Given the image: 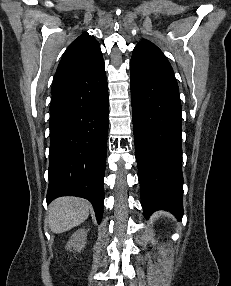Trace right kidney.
Here are the masks:
<instances>
[{"label":"right kidney","mask_w":231,"mask_h":286,"mask_svg":"<svg viewBox=\"0 0 231 286\" xmlns=\"http://www.w3.org/2000/svg\"><path fill=\"white\" fill-rule=\"evenodd\" d=\"M86 240L87 232L85 229H78L70 237L69 241L67 242L66 249L71 250L73 248V250L80 252L84 248Z\"/></svg>","instance_id":"obj_1"}]
</instances>
